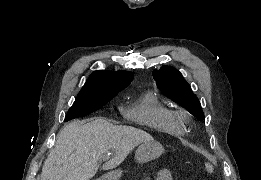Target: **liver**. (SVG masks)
I'll return each mask as SVG.
<instances>
[{"label": "liver", "mask_w": 261, "mask_h": 180, "mask_svg": "<svg viewBox=\"0 0 261 180\" xmlns=\"http://www.w3.org/2000/svg\"><path fill=\"white\" fill-rule=\"evenodd\" d=\"M152 140V136L143 130L132 126H113L102 118H91L90 122L73 120L60 130L40 178L91 180L97 174L103 156L112 158L102 166L103 170H113L136 146Z\"/></svg>", "instance_id": "6515ba94"}]
</instances>
